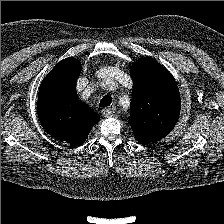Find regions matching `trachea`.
<instances>
[{"label": "trachea", "mask_w": 224, "mask_h": 224, "mask_svg": "<svg viewBox=\"0 0 224 224\" xmlns=\"http://www.w3.org/2000/svg\"><path fill=\"white\" fill-rule=\"evenodd\" d=\"M111 102H112L111 97L108 96V95H106V96H104V97L100 100L99 105H100L101 107H107V106H109V105L111 104Z\"/></svg>", "instance_id": "obj_1"}]
</instances>
